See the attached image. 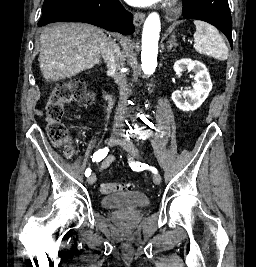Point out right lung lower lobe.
Segmentation results:
<instances>
[{
  "label": "right lung lower lobe",
  "mask_w": 256,
  "mask_h": 267,
  "mask_svg": "<svg viewBox=\"0 0 256 267\" xmlns=\"http://www.w3.org/2000/svg\"><path fill=\"white\" fill-rule=\"evenodd\" d=\"M54 22H84L124 35L134 31L132 14L118 0H87L76 5L59 3L42 9L38 26Z\"/></svg>",
  "instance_id": "right-lung-lower-lobe-1"
}]
</instances>
